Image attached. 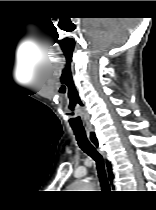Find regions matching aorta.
Masks as SVG:
<instances>
[{"instance_id":"aorta-1","label":"aorta","mask_w":156,"mask_h":210,"mask_svg":"<svg viewBox=\"0 0 156 210\" xmlns=\"http://www.w3.org/2000/svg\"><path fill=\"white\" fill-rule=\"evenodd\" d=\"M74 188H76V189H91L92 187L87 182H79V183L74 185Z\"/></svg>"}]
</instances>
